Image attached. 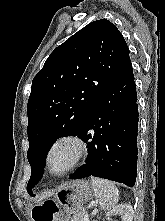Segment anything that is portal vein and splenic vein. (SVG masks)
Listing matches in <instances>:
<instances>
[{
    "label": "portal vein and splenic vein",
    "instance_id": "18ae733b",
    "mask_svg": "<svg viewBox=\"0 0 165 221\" xmlns=\"http://www.w3.org/2000/svg\"><path fill=\"white\" fill-rule=\"evenodd\" d=\"M88 215L86 214L84 217V221H87Z\"/></svg>",
    "mask_w": 165,
    "mask_h": 221
}]
</instances>
